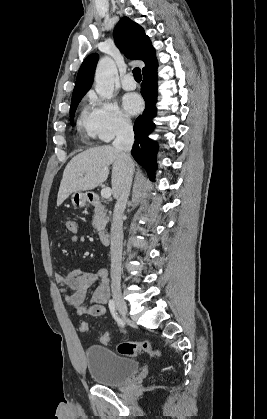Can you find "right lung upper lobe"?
<instances>
[{
	"mask_svg": "<svg viewBox=\"0 0 267 419\" xmlns=\"http://www.w3.org/2000/svg\"><path fill=\"white\" fill-rule=\"evenodd\" d=\"M113 36L116 45L127 58L142 60L145 63L142 72L157 63L155 49L144 29L128 17H123L117 23ZM98 59V54L94 53L83 61L78 71L72 98L84 96L91 88Z\"/></svg>",
	"mask_w": 267,
	"mask_h": 419,
	"instance_id": "right-lung-upper-lobe-1",
	"label": "right lung upper lobe"
}]
</instances>
